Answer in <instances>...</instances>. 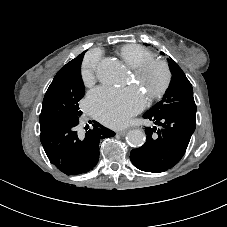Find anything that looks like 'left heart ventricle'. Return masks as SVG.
Wrapping results in <instances>:
<instances>
[{
	"mask_svg": "<svg viewBox=\"0 0 227 227\" xmlns=\"http://www.w3.org/2000/svg\"><path fill=\"white\" fill-rule=\"evenodd\" d=\"M162 79V71L160 69H154L146 76V78L140 83V85L148 95H151L161 84Z\"/></svg>",
	"mask_w": 227,
	"mask_h": 227,
	"instance_id": "left-heart-ventricle-1",
	"label": "left heart ventricle"
}]
</instances>
